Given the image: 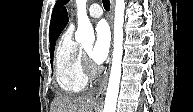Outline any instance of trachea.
<instances>
[{
  "label": "trachea",
  "instance_id": "obj_1",
  "mask_svg": "<svg viewBox=\"0 0 193 112\" xmlns=\"http://www.w3.org/2000/svg\"><path fill=\"white\" fill-rule=\"evenodd\" d=\"M103 6L108 11L110 9V1L109 0H103Z\"/></svg>",
  "mask_w": 193,
  "mask_h": 112
}]
</instances>
